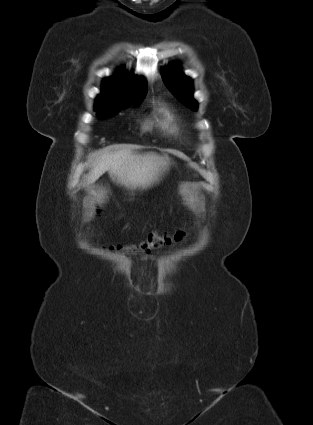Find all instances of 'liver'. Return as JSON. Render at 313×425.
Returning <instances> with one entry per match:
<instances>
[{
  "instance_id": "liver-1",
  "label": "liver",
  "mask_w": 313,
  "mask_h": 425,
  "mask_svg": "<svg viewBox=\"0 0 313 425\" xmlns=\"http://www.w3.org/2000/svg\"><path fill=\"white\" fill-rule=\"evenodd\" d=\"M168 159L155 153L139 154L129 149L106 152L91 167L87 180L94 183L106 171L117 183L130 189L147 188L168 168Z\"/></svg>"
}]
</instances>
